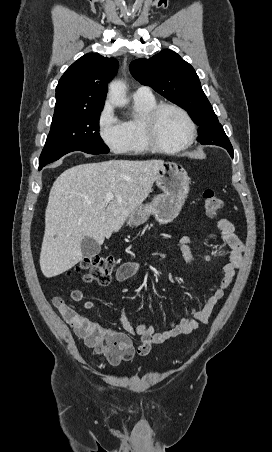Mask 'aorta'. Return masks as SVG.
Listing matches in <instances>:
<instances>
[{
    "label": "aorta",
    "instance_id": "obj_1",
    "mask_svg": "<svg viewBox=\"0 0 272 452\" xmlns=\"http://www.w3.org/2000/svg\"><path fill=\"white\" fill-rule=\"evenodd\" d=\"M126 87L122 81L115 80L109 85L108 99L109 101L117 106L123 107L127 103L126 99Z\"/></svg>",
    "mask_w": 272,
    "mask_h": 452
}]
</instances>
